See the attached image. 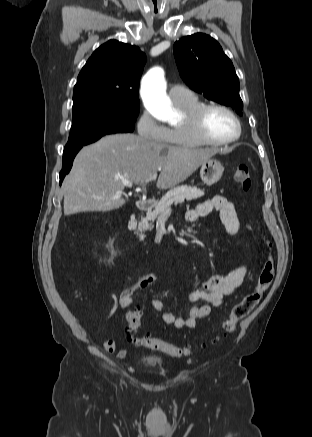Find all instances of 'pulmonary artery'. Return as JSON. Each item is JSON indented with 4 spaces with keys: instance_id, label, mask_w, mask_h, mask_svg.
<instances>
[{
    "instance_id": "1",
    "label": "pulmonary artery",
    "mask_w": 312,
    "mask_h": 437,
    "mask_svg": "<svg viewBox=\"0 0 312 437\" xmlns=\"http://www.w3.org/2000/svg\"><path fill=\"white\" fill-rule=\"evenodd\" d=\"M192 93L183 86L174 85L169 89V96L174 103L184 101L191 97Z\"/></svg>"
}]
</instances>
